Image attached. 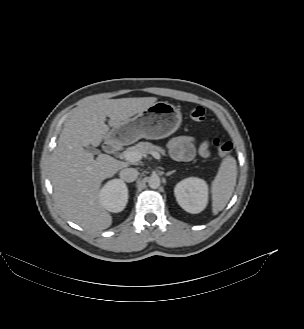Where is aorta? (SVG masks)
Wrapping results in <instances>:
<instances>
[{"label":"aorta","mask_w":304,"mask_h":329,"mask_svg":"<svg viewBox=\"0 0 304 329\" xmlns=\"http://www.w3.org/2000/svg\"><path fill=\"white\" fill-rule=\"evenodd\" d=\"M148 185L152 189H157L160 186V178L157 175H152L148 179Z\"/></svg>","instance_id":"762f6f07"}]
</instances>
